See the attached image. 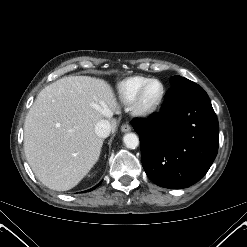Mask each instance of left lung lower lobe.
<instances>
[{
    "label": "left lung lower lobe",
    "instance_id": "obj_1",
    "mask_svg": "<svg viewBox=\"0 0 247 247\" xmlns=\"http://www.w3.org/2000/svg\"><path fill=\"white\" fill-rule=\"evenodd\" d=\"M143 168L165 188H186L209 170L218 151L219 125L207 93L197 84L172 87L160 113L134 119Z\"/></svg>",
    "mask_w": 247,
    "mask_h": 247
}]
</instances>
